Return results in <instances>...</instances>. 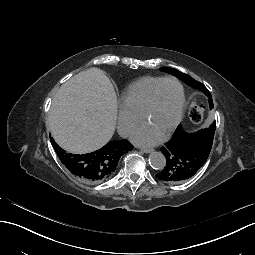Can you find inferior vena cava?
I'll use <instances>...</instances> for the list:
<instances>
[{
  "label": "inferior vena cava",
  "mask_w": 255,
  "mask_h": 255,
  "mask_svg": "<svg viewBox=\"0 0 255 255\" xmlns=\"http://www.w3.org/2000/svg\"><path fill=\"white\" fill-rule=\"evenodd\" d=\"M132 128L129 126L118 128V133L122 138H127Z\"/></svg>",
  "instance_id": "1"
}]
</instances>
